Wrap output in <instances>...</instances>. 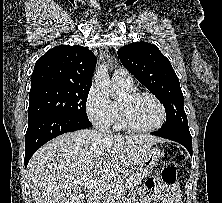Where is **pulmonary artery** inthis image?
<instances>
[{
	"label": "pulmonary artery",
	"instance_id": "1",
	"mask_svg": "<svg viewBox=\"0 0 222 203\" xmlns=\"http://www.w3.org/2000/svg\"><path fill=\"white\" fill-rule=\"evenodd\" d=\"M113 78L115 82L124 88L133 87V79L130 73L122 68L116 69L113 73Z\"/></svg>",
	"mask_w": 222,
	"mask_h": 203
}]
</instances>
